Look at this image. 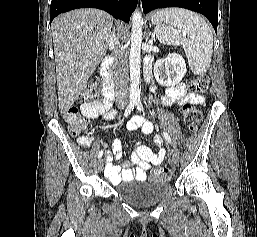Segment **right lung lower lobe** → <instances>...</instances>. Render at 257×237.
<instances>
[{"mask_svg":"<svg viewBox=\"0 0 257 237\" xmlns=\"http://www.w3.org/2000/svg\"><path fill=\"white\" fill-rule=\"evenodd\" d=\"M138 0H52L50 22L60 13L78 8H98L125 22L130 20Z\"/></svg>","mask_w":257,"mask_h":237,"instance_id":"obj_1","label":"right lung lower lobe"}]
</instances>
